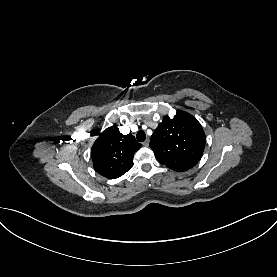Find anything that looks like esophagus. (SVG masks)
<instances>
[{
    "mask_svg": "<svg viewBox=\"0 0 277 277\" xmlns=\"http://www.w3.org/2000/svg\"><path fill=\"white\" fill-rule=\"evenodd\" d=\"M142 145H143L144 147H148V146H149V139H146V140L142 143Z\"/></svg>",
    "mask_w": 277,
    "mask_h": 277,
    "instance_id": "34e87169",
    "label": "esophagus"
}]
</instances>
